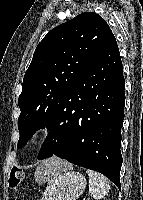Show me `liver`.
Wrapping results in <instances>:
<instances>
[{"mask_svg": "<svg viewBox=\"0 0 143 200\" xmlns=\"http://www.w3.org/2000/svg\"><path fill=\"white\" fill-rule=\"evenodd\" d=\"M71 164L68 162L58 159L57 157H51L42 162L40 166L37 167L35 171V181L39 184H42L45 181H48L56 172L60 169L70 168Z\"/></svg>", "mask_w": 143, "mask_h": 200, "instance_id": "obj_1", "label": "liver"}]
</instances>
